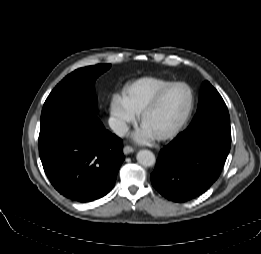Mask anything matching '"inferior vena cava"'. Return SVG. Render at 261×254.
<instances>
[{"label": "inferior vena cava", "instance_id": "obj_1", "mask_svg": "<svg viewBox=\"0 0 261 254\" xmlns=\"http://www.w3.org/2000/svg\"><path fill=\"white\" fill-rule=\"evenodd\" d=\"M108 124L113 132L118 136H124L128 132L127 124L118 118L110 117L108 120Z\"/></svg>", "mask_w": 261, "mask_h": 254}]
</instances>
